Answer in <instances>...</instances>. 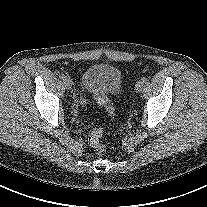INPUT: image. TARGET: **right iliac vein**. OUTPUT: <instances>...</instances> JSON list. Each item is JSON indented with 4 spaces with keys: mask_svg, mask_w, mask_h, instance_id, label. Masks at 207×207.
<instances>
[{
    "mask_svg": "<svg viewBox=\"0 0 207 207\" xmlns=\"http://www.w3.org/2000/svg\"><path fill=\"white\" fill-rule=\"evenodd\" d=\"M63 83H64V86L68 89H70L72 87V80L68 77H65L63 79Z\"/></svg>",
    "mask_w": 207,
    "mask_h": 207,
    "instance_id": "right-iliac-vein-1",
    "label": "right iliac vein"
}]
</instances>
